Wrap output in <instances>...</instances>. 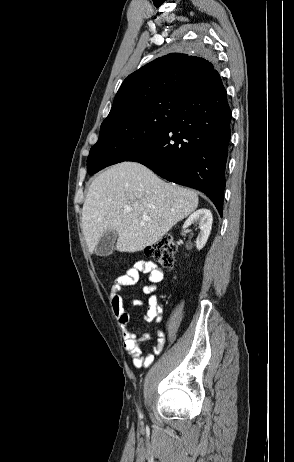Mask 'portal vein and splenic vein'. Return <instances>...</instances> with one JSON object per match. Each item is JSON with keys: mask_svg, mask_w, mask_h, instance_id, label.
<instances>
[{"mask_svg": "<svg viewBox=\"0 0 294 462\" xmlns=\"http://www.w3.org/2000/svg\"><path fill=\"white\" fill-rule=\"evenodd\" d=\"M130 211H131V208L125 207V212H130ZM143 219H144V220H147V217H146V216H143Z\"/></svg>", "mask_w": 294, "mask_h": 462, "instance_id": "portal-vein-and-splenic-vein-1", "label": "portal vein and splenic vein"}]
</instances>
